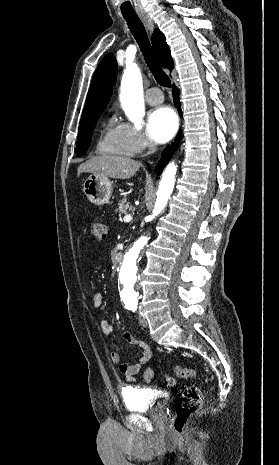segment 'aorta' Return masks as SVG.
Returning a JSON list of instances; mask_svg holds the SVG:
<instances>
[{
  "label": "aorta",
  "mask_w": 279,
  "mask_h": 465,
  "mask_svg": "<svg viewBox=\"0 0 279 465\" xmlns=\"http://www.w3.org/2000/svg\"><path fill=\"white\" fill-rule=\"evenodd\" d=\"M120 101L125 114L136 128L141 127L145 114L143 100V85L141 72L136 65L127 66L121 81ZM177 166L174 162L168 164L157 192V199L151 219L155 218L167 205L174 185ZM147 236L140 237L125 253L119 274L120 295L124 303L135 302L137 299L138 260L142 249L148 242Z\"/></svg>",
  "instance_id": "1"
}]
</instances>
